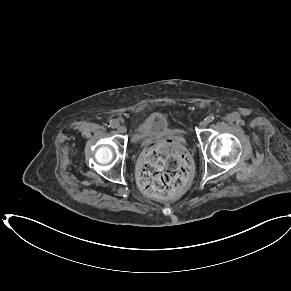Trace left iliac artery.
I'll return each mask as SVG.
<instances>
[{
    "instance_id": "44dca946",
    "label": "left iliac artery",
    "mask_w": 291,
    "mask_h": 291,
    "mask_svg": "<svg viewBox=\"0 0 291 291\" xmlns=\"http://www.w3.org/2000/svg\"><path fill=\"white\" fill-rule=\"evenodd\" d=\"M215 119L214 115H209L205 120H207L208 123L212 122Z\"/></svg>"
}]
</instances>
